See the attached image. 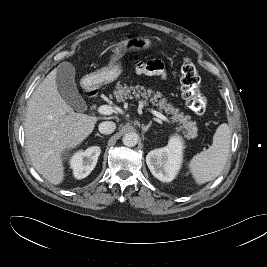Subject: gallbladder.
<instances>
[{
    "label": "gallbladder",
    "instance_id": "obj_1",
    "mask_svg": "<svg viewBox=\"0 0 267 267\" xmlns=\"http://www.w3.org/2000/svg\"><path fill=\"white\" fill-rule=\"evenodd\" d=\"M75 79V68L68 62H63L56 68V84L62 98L76 111H85L86 102L79 94Z\"/></svg>",
    "mask_w": 267,
    "mask_h": 267
}]
</instances>
